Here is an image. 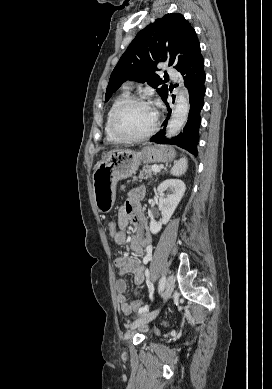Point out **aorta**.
<instances>
[{"label":"aorta","mask_w":272,"mask_h":389,"mask_svg":"<svg viewBox=\"0 0 272 389\" xmlns=\"http://www.w3.org/2000/svg\"><path fill=\"white\" fill-rule=\"evenodd\" d=\"M190 110L188 92L181 90L176 97V105L172 117L168 123L166 136H176L185 125Z\"/></svg>","instance_id":"aorta-1"}]
</instances>
